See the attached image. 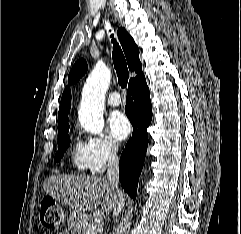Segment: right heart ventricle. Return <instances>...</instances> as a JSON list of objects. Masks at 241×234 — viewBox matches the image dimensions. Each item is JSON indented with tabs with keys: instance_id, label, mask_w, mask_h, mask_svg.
Wrapping results in <instances>:
<instances>
[{
	"instance_id": "e07e8e85",
	"label": "right heart ventricle",
	"mask_w": 241,
	"mask_h": 234,
	"mask_svg": "<svg viewBox=\"0 0 241 234\" xmlns=\"http://www.w3.org/2000/svg\"><path fill=\"white\" fill-rule=\"evenodd\" d=\"M73 166L81 172L91 170V158L87 144L77 140L71 153Z\"/></svg>"
}]
</instances>
